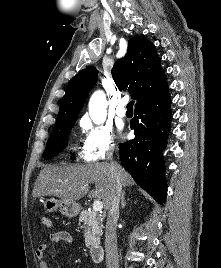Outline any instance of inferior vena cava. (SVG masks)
<instances>
[{
	"label": "inferior vena cava",
	"mask_w": 221,
	"mask_h": 268,
	"mask_svg": "<svg viewBox=\"0 0 221 268\" xmlns=\"http://www.w3.org/2000/svg\"><path fill=\"white\" fill-rule=\"evenodd\" d=\"M109 171L111 175V191L108 206V218L105 229V252L107 268H119V256L117 251L116 226L119 218V203L122 194V184L119 177V165L109 153Z\"/></svg>",
	"instance_id": "obj_1"
}]
</instances>
